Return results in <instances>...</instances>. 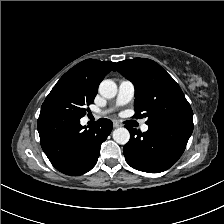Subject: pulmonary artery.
Returning a JSON list of instances; mask_svg holds the SVG:
<instances>
[{
  "mask_svg": "<svg viewBox=\"0 0 224 224\" xmlns=\"http://www.w3.org/2000/svg\"><path fill=\"white\" fill-rule=\"evenodd\" d=\"M134 94H135V88L132 82L128 80L120 81L118 87V94L116 98V105L122 106L129 103L133 99ZM148 128H149L148 125L145 123L142 124L141 126V130L143 132H146Z\"/></svg>",
  "mask_w": 224,
  "mask_h": 224,
  "instance_id": "1",
  "label": "pulmonary artery"
}]
</instances>
